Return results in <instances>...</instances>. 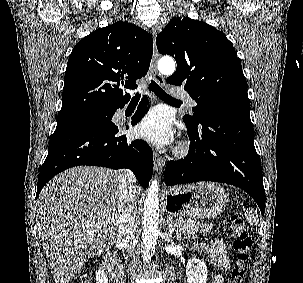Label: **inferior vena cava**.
<instances>
[{
	"label": "inferior vena cava",
	"instance_id": "inferior-vena-cava-1",
	"mask_svg": "<svg viewBox=\"0 0 303 283\" xmlns=\"http://www.w3.org/2000/svg\"><path fill=\"white\" fill-rule=\"evenodd\" d=\"M135 177L132 171L123 170L119 179V196L121 203V215L118 223L117 239L125 245V257H134V246L132 241L135 232V216H136V187ZM135 264L133 261L128 264L130 275L133 274ZM134 283V282H131Z\"/></svg>",
	"mask_w": 303,
	"mask_h": 283
}]
</instances>
